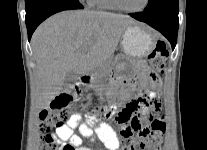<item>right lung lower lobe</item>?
<instances>
[{
  "label": "right lung lower lobe",
  "instance_id": "right-lung-lower-lobe-1",
  "mask_svg": "<svg viewBox=\"0 0 207 150\" xmlns=\"http://www.w3.org/2000/svg\"><path fill=\"white\" fill-rule=\"evenodd\" d=\"M83 8L78 0H40L35 5L26 7L25 22L29 41L37 26L49 16L63 10Z\"/></svg>",
  "mask_w": 207,
  "mask_h": 150
}]
</instances>
